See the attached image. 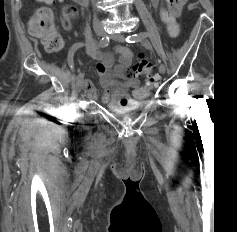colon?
<instances>
[{
	"mask_svg": "<svg viewBox=\"0 0 237 232\" xmlns=\"http://www.w3.org/2000/svg\"><path fill=\"white\" fill-rule=\"evenodd\" d=\"M44 2L45 6L35 8L28 21L29 34L41 40L42 45L48 53H56L62 47V40L56 31L54 17L52 11L47 5H51L60 0H38ZM167 2V0H165ZM67 18L73 19L77 12L73 7H67L64 10ZM160 19L167 25L169 33L172 37H177L179 34V26L176 22V15L172 10L161 6L159 9ZM154 66L144 57H140L138 62L133 67L135 74H145L147 78L144 83V88L151 90L159 82L157 74L153 73Z\"/></svg>",
	"mask_w": 237,
	"mask_h": 232,
	"instance_id": "5ec220e1",
	"label": "colon"
}]
</instances>
